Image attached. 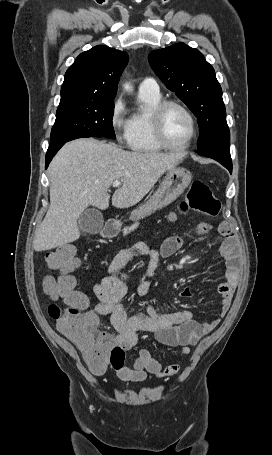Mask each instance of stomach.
Here are the masks:
<instances>
[{
	"mask_svg": "<svg viewBox=\"0 0 272 455\" xmlns=\"http://www.w3.org/2000/svg\"><path fill=\"white\" fill-rule=\"evenodd\" d=\"M191 179L190 171L183 167H174L167 170L164 180L157 191L131 213L130 219L138 220L144 218L156 210L168 206L184 192L189 186Z\"/></svg>",
	"mask_w": 272,
	"mask_h": 455,
	"instance_id": "stomach-1",
	"label": "stomach"
}]
</instances>
